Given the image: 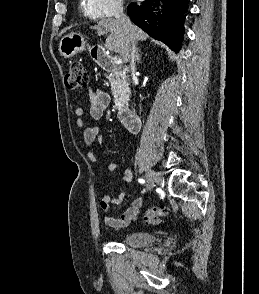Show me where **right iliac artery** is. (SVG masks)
Instances as JSON below:
<instances>
[{"label":"right iliac artery","mask_w":259,"mask_h":294,"mask_svg":"<svg viewBox=\"0 0 259 294\" xmlns=\"http://www.w3.org/2000/svg\"><path fill=\"white\" fill-rule=\"evenodd\" d=\"M140 183H145V181L143 179H139Z\"/></svg>","instance_id":"1"}]
</instances>
